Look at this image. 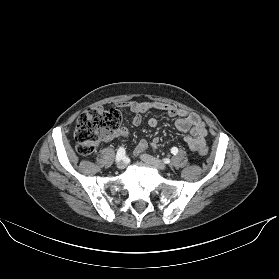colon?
<instances>
[{
  "label": "colon",
  "mask_w": 279,
  "mask_h": 279,
  "mask_svg": "<svg viewBox=\"0 0 279 279\" xmlns=\"http://www.w3.org/2000/svg\"><path fill=\"white\" fill-rule=\"evenodd\" d=\"M120 124L121 115L116 109H89L84 111L79 115L76 124L77 152L81 155L91 154L101 141L116 134ZM198 153L207 155V147H201Z\"/></svg>",
  "instance_id": "obj_1"
}]
</instances>
